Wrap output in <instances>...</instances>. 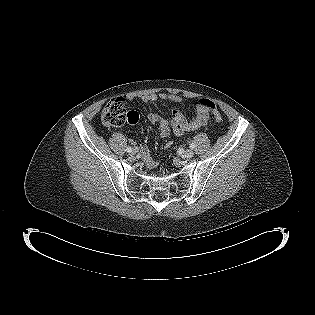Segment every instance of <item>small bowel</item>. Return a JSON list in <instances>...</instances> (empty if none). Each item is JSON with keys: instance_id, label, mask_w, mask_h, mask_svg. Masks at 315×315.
I'll return each instance as SVG.
<instances>
[{"instance_id": "1", "label": "small bowel", "mask_w": 315, "mask_h": 315, "mask_svg": "<svg viewBox=\"0 0 315 315\" xmlns=\"http://www.w3.org/2000/svg\"><path fill=\"white\" fill-rule=\"evenodd\" d=\"M124 99L131 101L134 98L132 96H126ZM140 100L144 103L155 102L157 100L180 103L182 98L175 94L160 92L142 95ZM147 118L151 123L158 126L161 137L166 138L171 134L176 137H180L185 132L194 131L204 126L208 121L209 111L207 108L198 103L195 113L190 119H187L178 108L173 110L170 120L161 117L156 112L148 113ZM169 146L170 143H167L165 148H168ZM143 159L149 169H152L157 164V161L146 151L143 152Z\"/></svg>"}]
</instances>
